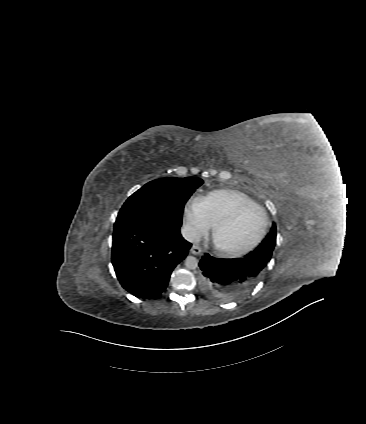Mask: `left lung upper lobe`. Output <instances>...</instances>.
<instances>
[{"label":"left lung upper lobe","instance_id":"left-lung-upper-lobe-1","mask_svg":"<svg viewBox=\"0 0 366 424\" xmlns=\"http://www.w3.org/2000/svg\"><path fill=\"white\" fill-rule=\"evenodd\" d=\"M276 244V225L273 223L272 229L270 233L266 236V238L262 241V243L253 251L251 254L253 256L261 257L267 262L270 261L273 249ZM260 278L255 280V284L259 281Z\"/></svg>","mask_w":366,"mask_h":424}]
</instances>
